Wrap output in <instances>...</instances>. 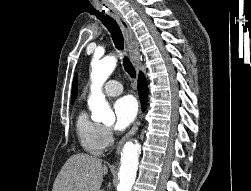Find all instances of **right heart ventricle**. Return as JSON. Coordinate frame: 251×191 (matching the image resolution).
<instances>
[{
    "instance_id": "e07e8e85",
    "label": "right heart ventricle",
    "mask_w": 251,
    "mask_h": 191,
    "mask_svg": "<svg viewBox=\"0 0 251 191\" xmlns=\"http://www.w3.org/2000/svg\"><path fill=\"white\" fill-rule=\"evenodd\" d=\"M76 133L79 144L85 152L92 155H99L102 152L101 125L90 120L83 110L77 114Z\"/></svg>"
}]
</instances>
